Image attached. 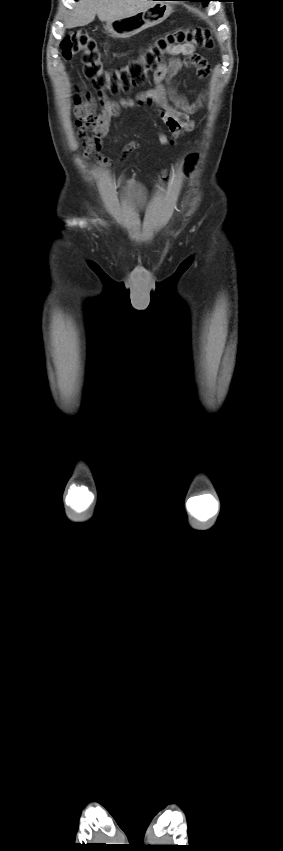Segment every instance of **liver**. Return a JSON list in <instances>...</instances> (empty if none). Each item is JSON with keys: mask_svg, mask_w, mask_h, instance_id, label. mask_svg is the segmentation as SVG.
<instances>
[{"mask_svg": "<svg viewBox=\"0 0 283 851\" xmlns=\"http://www.w3.org/2000/svg\"><path fill=\"white\" fill-rule=\"evenodd\" d=\"M154 3L152 0H79L65 24L67 28L85 26L96 15L102 22H111L134 15Z\"/></svg>", "mask_w": 283, "mask_h": 851, "instance_id": "obj_1", "label": "liver"}]
</instances>
